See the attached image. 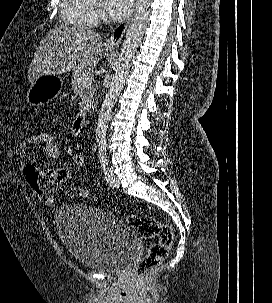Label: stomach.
Listing matches in <instances>:
<instances>
[{
	"label": "stomach",
	"mask_w": 272,
	"mask_h": 303,
	"mask_svg": "<svg viewBox=\"0 0 272 303\" xmlns=\"http://www.w3.org/2000/svg\"><path fill=\"white\" fill-rule=\"evenodd\" d=\"M62 80L55 76H41L31 83L26 101L31 106H43L53 101L61 91Z\"/></svg>",
	"instance_id": "obj_1"
}]
</instances>
